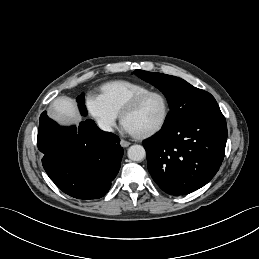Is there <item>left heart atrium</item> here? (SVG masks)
<instances>
[{
    "label": "left heart atrium",
    "mask_w": 259,
    "mask_h": 259,
    "mask_svg": "<svg viewBox=\"0 0 259 259\" xmlns=\"http://www.w3.org/2000/svg\"><path fill=\"white\" fill-rule=\"evenodd\" d=\"M123 130L128 134H135L131 128H129L126 124H123Z\"/></svg>",
    "instance_id": "39dd6f15"
}]
</instances>
